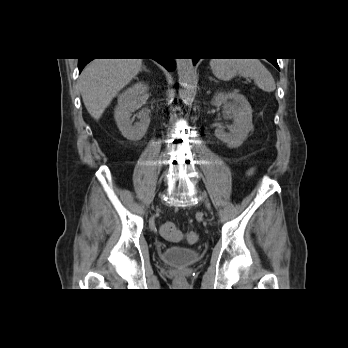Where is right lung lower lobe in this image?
Instances as JSON below:
<instances>
[{
	"label": "right lung lower lobe",
	"mask_w": 348,
	"mask_h": 348,
	"mask_svg": "<svg viewBox=\"0 0 348 348\" xmlns=\"http://www.w3.org/2000/svg\"><path fill=\"white\" fill-rule=\"evenodd\" d=\"M157 62H159L161 65H163L168 71H171L173 69V61L170 58H162V59H155ZM91 61V59H79L78 61V68L79 73L82 71L84 66L88 64Z\"/></svg>",
	"instance_id": "obj_1"
}]
</instances>
